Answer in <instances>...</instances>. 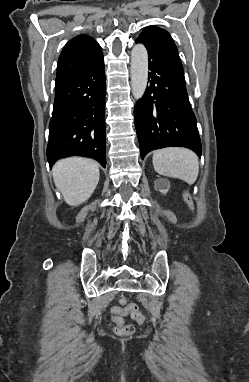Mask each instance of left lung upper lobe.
<instances>
[{"mask_svg":"<svg viewBox=\"0 0 249 382\" xmlns=\"http://www.w3.org/2000/svg\"><path fill=\"white\" fill-rule=\"evenodd\" d=\"M138 38L161 59L184 72L176 45L166 30L156 26H148Z\"/></svg>","mask_w":249,"mask_h":382,"instance_id":"obj_1","label":"left lung upper lobe"}]
</instances>
